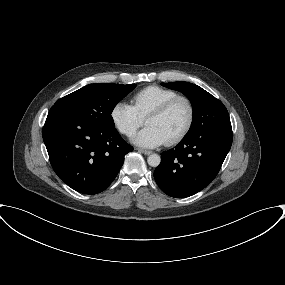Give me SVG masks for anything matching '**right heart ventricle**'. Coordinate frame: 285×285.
I'll return each instance as SVG.
<instances>
[{"label": "right heart ventricle", "instance_id": "e07e8e85", "mask_svg": "<svg viewBox=\"0 0 285 285\" xmlns=\"http://www.w3.org/2000/svg\"><path fill=\"white\" fill-rule=\"evenodd\" d=\"M177 95L178 93L172 89L156 85L148 86L133 95L132 106L144 119L153 109Z\"/></svg>", "mask_w": 285, "mask_h": 285}]
</instances>
